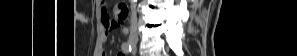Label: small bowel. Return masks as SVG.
<instances>
[{
  "mask_svg": "<svg viewBox=\"0 0 297 56\" xmlns=\"http://www.w3.org/2000/svg\"><path fill=\"white\" fill-rule=\"evenodd\" d=\"M127 10L124 6H118L113 14V17H110L106 7L100 5V17L101 25L99 26V32L96 40V47L94 50V56H106V51L104 49V44L107 40L108 33L117 28L120 23L126 18ZM118 56H124L123 53H118Z\"/></svg>",
  "mask_w": 297,
  "mask_h": 56,
  "instance_id": "small-bowel-1",
  "label": "small bowel"
}]
</instances>
